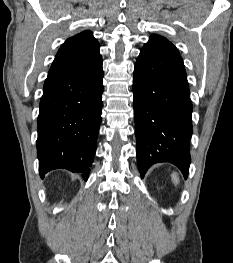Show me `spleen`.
<instances>
[{
    "mask_svg": "<svg viewBox=\"0 0 233 263\" xmlns=\"http://www.w3.org/2000/svg\"><path fill=\"white\" fill-rule=\"evenodd\" d=\"M172 181H173V183H174L175 185L178 184V182H179V177H178L177 173H173V174H172Z\"/></svg>",
    "mask_w": 233,
    "mask_h": 263,
    "instance_id": "3e777b00",
    "label": "spleen"
}]
</instances>
